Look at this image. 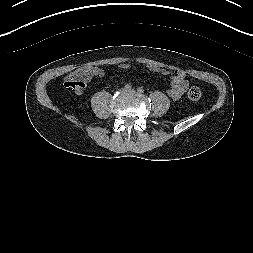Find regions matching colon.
Here are the masks:
<instances>
[{
	"instance_id": "colon-1",
	"label": "colon",
	"mask_w": 253,
	"mask_h": 253,
	"mask_svg": "<svg viewBox=\"0 0 253 253\" xmlns=\"http://www.w3.org/2000/svg\"><path fill=\"white\" fill-rule=\"evenodd\" d=\"M93 70L90 67H82L71 73L65 81V86L77 91H83L87 82L91 79ZM202 96V91L199 87L193 86L188 91V98L192 101H198Z\"/></svg>"
}]
</instances>
